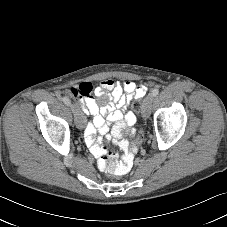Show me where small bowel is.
<instances>
[{
	"mask_svg": "<svg viewBox=\"0 0 227 227\" xmlns=\"http://www.w3.org/2000/svg\"><path fill=\"white\" fill-rule=\"evenodd\" d=\"M70 92L78 99L84 112L93 117L84 130L85 143L91 154L99 159L102 154L108 153L105 141L111 139L125 154L128 143L120 140L121 137L127 129L130 135L136 134V129L131 128L136 122V116L132 111H127V106L131 100L142 98L146 87L138 86L133 81L121 83L107 78L101 80L95 88L91 83L85 82L71 88ZM111 124L114 126L111 134H108Z\"/></svg>",
	"mask_w": 227,
	"mask_h": 227,
	"instance_id": "1",
	"label": "small bowel"
}]
</instances>
